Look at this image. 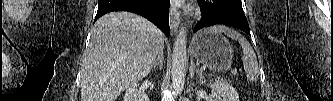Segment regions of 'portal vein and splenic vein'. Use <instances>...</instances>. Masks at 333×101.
Here are the masks:
<instances>
[{
    "instance_id": "portal-vein-and-splenic-vein-1",
    "label": "portal vein and splenic vein",
    "mask_w": 333,
    "mask_h": 101,
    "mask_svg": "<svg viewBox=\"0 0 333 101\" xmlns=\"http://www.w3.org/2000/svg\"><path fill=\"white\" fill-rule=\"evenodd\" d=\"M230 66L227 67V69H229ZM206 69V66H203L201 70H205Z\"/></svg>"
}]
</instances>
